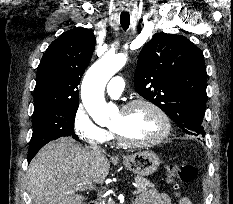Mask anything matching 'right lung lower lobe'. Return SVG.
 Listing matches in <instances>:
<instances>
[{"label": "right lung lower lobe", "instance_id": "obj_1", "mask_svg": "<svg viewBox=\"0 0 233 204\" xmlns=\"http://www.w3.org/2000/svg\"><path fill=\"white\" fill-rule=\"evenodd\" d=\"M42 148V147H41ZM41 148H29L28 151V163L31 161V159L36 155V153L41 149Z\"/></svg>", "mask_w": 233, "mask_h": 204}]
</instances>
